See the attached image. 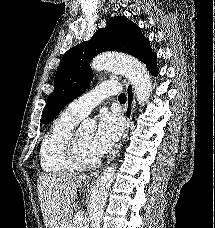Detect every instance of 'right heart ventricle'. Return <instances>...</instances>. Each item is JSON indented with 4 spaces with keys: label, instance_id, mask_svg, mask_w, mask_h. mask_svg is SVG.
I'll return each mask as SVG.
<instances>
[{
    "label": "right heart ventricle",
    "instance_id": "obj_1",
    "mask_svg": "<svg viewBox=\"0 0 215 228\" xmlns=\"http://www.w3.org/2000/svg\"><path fill=\"white\" fill-rule=\"evenodd\" d=\"M81 118L67 109L59 114L45 132L40 145V164L48 174H63L74 169L63 153L65 138L74 130Z\"/></svg>",
    "mask_w": 215,
    "mask_h": 228
}]
</instances>
